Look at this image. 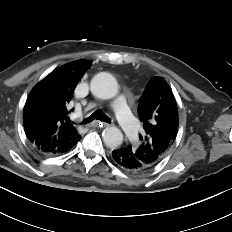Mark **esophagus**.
<instances>
[{"label": "esophagus", "mask_w": 232, "mask_h": 232, "mask_svg": "<svg viewBox=\"0 0 232 232\" xmlns=\"http://www.w3.org/2000/svg\"><path fill=\"white\" fill-rule=\"evenodd\" d=\"M91 127H109L110 124L106 123V122H98V121H95V122H92L90 124Z\"/></svg>", "instance_id": "esophagus-1"}]
</instances>
